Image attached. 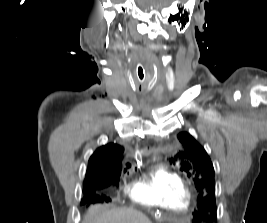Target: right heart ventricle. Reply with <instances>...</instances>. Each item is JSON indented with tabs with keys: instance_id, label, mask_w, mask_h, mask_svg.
<instances>
[{
	"instance_id": "obj_1",
	"label": "right heart ventricle",
	"mask_w": 267,
	"mask_h": 223,
	"mask_svg": "<svg viewBox=\"0 0 267 223\" xmlns=\"http://www.w3.org/2000/svg\"><path fill=\"white\" fill-rule=\"evenodd\" d=\"M128 195L135 203L173 211L186 210L192 200L186 179L166 166H158L134 182Z\"/></svg>"
}]
</instances>
